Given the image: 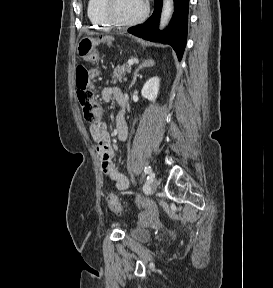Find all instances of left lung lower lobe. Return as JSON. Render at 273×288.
Returning a JSON list of instances; mask_svg holds the SVG:
<instances>
[{
  "instance_id": "obj_1",
  "label": "left lung lower lobe",
  "mask_w": 273,
  "mask_h": 288,
  "mask_svg": "<svg viewBox=\"0 0 273 288\" xmlns=\"http://www.w3.org/2000/svg\"><path fill=\"white\" fill-rule=\"evenodd\" d=\"M188 4L189 0H174L170 24L165 30L159 31L162 0H155L152 16L143 24L129 28L128 32L145 40L171 45L181 60L187 40Z\"/></svg>"
}]
</instances>
